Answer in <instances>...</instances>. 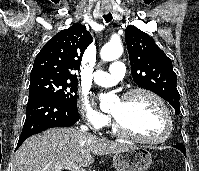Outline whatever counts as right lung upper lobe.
Returning <instances> with one entry per match:
<instances>
[{"mask_svg": "<svg viewBox=\"0 0 199 171\" xmlns=\"http://www.w3.org/2000/svg\"><path fill=\"white\" fill-rule=\"evenodd\" d=\"M92 42V36L83 25L75 24L57 33L36 56L31 77L53 76L77 82L82 55Z\"/></svg>", "mask_w": 199, "mask_h": 171, "instance_id": "obj_1", "label": "right lung upper lobe"}]
</instances>
